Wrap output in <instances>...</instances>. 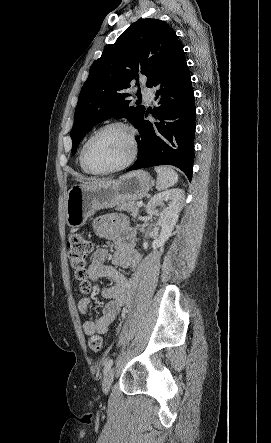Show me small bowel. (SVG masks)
I'll return each mask as SVG.
<instances>
[{"label": "small bowel", "instance_id": "small-bowel-1", "mask_svg": "<svg viewBox=\"0 0 271 443\" xmlns=\"http://www.w3.org/2000/svg\"><path fill=\"white\" fill-rule=\"evenodd\" d=\"M93 228L97 237L109 240L114 244L113 263L116 266L134 269L139 265L141 257L135 249V232L124 216H101L94 221ZM108 256L109 253L106 248H98L93 253L88 268V278L90 280L108 278L114 283L100 291L101 295L107 300L101 315L95 320L87 318L83 323V331L88 336L95 333H108L126 303L129 278L113 266L105 263ZM78 310L84 317L90 316L92 311L91 299L87 297L80 299Z\"/></svg>", "mask_w": 271, "mask_h": 443}]
</instances>
